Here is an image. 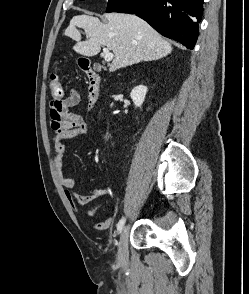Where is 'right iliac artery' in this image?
Here are the masks:
<instances>
[{
  "mask_svg": "<svg viewBox=\"0 0 249 294\" xmlns=\"http://www.w3.org/2000/svg\"><path fill=\"white\" fill-rule=\"evenodd\" d=\"M124 224H125V218H122V219L118 222V224H117V230H118L119 232H121V230H122Z\"/></svg>",
  "mask_w": 249,
  "mask_h": 294,
  "instance_id": "obj_1",
  "label": "right iliac artery"
}]
</instances>
